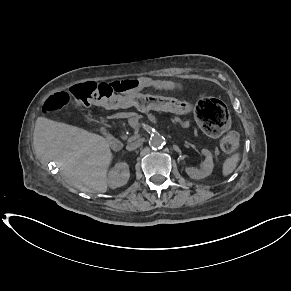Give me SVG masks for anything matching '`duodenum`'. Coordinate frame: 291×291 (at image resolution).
<instances>
[{
	"label": "duodenum",
	"mask_w": 291,
	"mask_h": 291,
	"mask_svg": "<svg viewBox=\"0 0 291 291\" xmlns=\"http://www.w3.org/2000/svg\"><path fill=\"white\" fill-rule=\"evenodd\" d=\"M105 136L108 138V141L110 142L112 150L114 152H117L120 148H122L123 142L121 140H118L115 134H112L110 131H107L105 133Z\"/></svg>",
	"instance_id": "obj_1"
}]
</instances>
